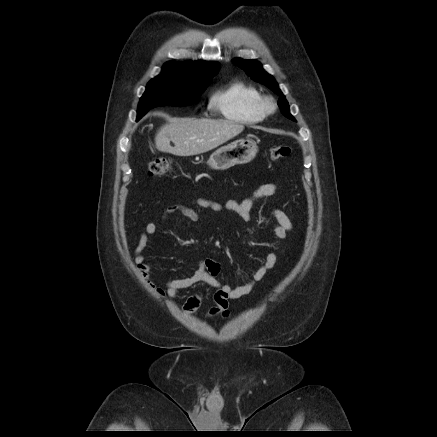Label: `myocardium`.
I'll use <instances>...</instances> for the list:
<instances>
[{
    "mask_svg": "<svg viewBox=\"0 0 437 437\" xmlns=\"http://www.w3.org/2000/svg\"><path fill=\"white\" fill-rule=\"evenodd\" d=\"M260 107L265 114H270L276 110V103L273 98L266 96L261 98Z\"/></svg>",
    "mask_w": 437,
    "mask_h": 437,
    "instance_id": "myocardium-1",
    "label": "myocardium"
}]
</instances>
